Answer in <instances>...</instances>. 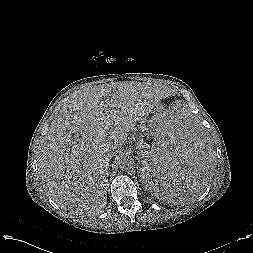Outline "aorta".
<instances>
[{"mask_svg": "<svg viewBox=\"0 0 253 253\" xmlns=\"http://www.w3.org/2000/svg\"><path fill=\"white\" fill-rule=\"evenodd\" d=\"M117 164L122 171H131L135 168V161L130 155H122L117 159Z\"/></svg>", "mask_w": 253, "mask_h": 253, "instance_id": "1", "label": "aorta"}]
</instances>
